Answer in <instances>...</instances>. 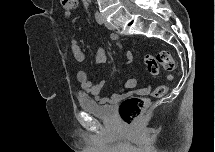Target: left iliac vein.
Segmentation results:
<instances>
[{
    "instance_id": "left-iliac-vein-1",
    "label": "left iliac vein",
    "mask_w": 215,
    "mask_h": 152,
    "mask_svg": "<svg viewBox=\"0 0 215 152\" xmlns=\"http://www.w3.org/2000/svg\"><path fill=\"white\" fill-rule=\"evenodd\" d=\"M100 16H101V18L103 19V21H104L106 27H107L109 30H113V29H114V26H113L110 22H108V21L106 20L105 16H104L103 14H100Z\"/></svg>"
}]
</instances>
